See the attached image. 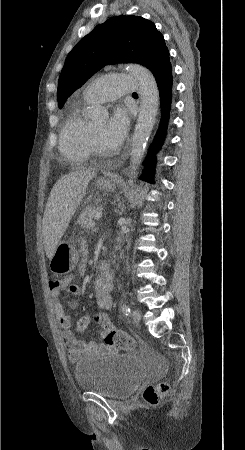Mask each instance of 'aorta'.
Instances as JSON below:
<instances>
[{
    "label": "aorta",
    "instance_id": "obj_1",
    "mask_svg": "<svg viewBox=\"0 0 245 450\" xmlns=\"http://www.w3.org/2000/svg\"><path fill=\"white\" fill-rule=\"evenodd\" d=\"M125 67L137 79L141 90L140 112L132 137L130 152V179L128 183L132 185L155 124L159 105V91L154 76L147 68L138 64H127ZM93 115L96 118H105L108 113L105 108L98 107L94 109Z\"/></svg>",
    "mask_w": 245,
    "mask_h": 450
}]
</instances>
